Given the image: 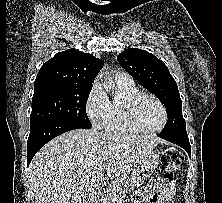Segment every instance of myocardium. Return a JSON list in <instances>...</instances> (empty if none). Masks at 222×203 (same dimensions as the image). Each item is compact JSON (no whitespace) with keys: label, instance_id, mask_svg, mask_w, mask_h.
<instances>
[{"label":"myocardium","instance_id":"obj_1","mask_svg":"<svg viewBox=\"0 0 222 203\" xmlns=\"http://www.w3.org/2000/svg\"><path fill=\"white\" fill-rule=\"evenodd\" d=\"M144 98H150L154 100L162 110L163 121H162V124L158 128H155V129L144 128L140 124L137 118V114H136L137 105ZM125 112H126V117L130 125L133 128H135L138 132H142V133H147V134L159 133L166 127L167 122H168V112L165 105L162 103V101L158 97L150 93L139 92L138 94L130 97L125 104Z\"/></svg>","mask_w":222,"mask_h":203}]
</instances>
